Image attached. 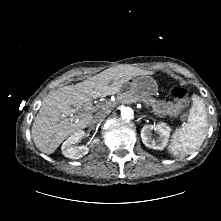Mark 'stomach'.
I'll use <instances>...</instances> for the list:
<instances>
[{
    "label": "stomach",
    "mask_w": 221,
    "mask_h": 221,
    "mask_svg": "<svg viewBox=\"0 0 221 221\" xmlns=\"http://www.w3.org/2000/svg\"><path fill=\"white\" fill-rule=\"evenodd\" d=\"M153 80L146 76H141L137 78H133L124 83V89L127 92H131L135 95L139 96H147L154 92V88L152 87Z\"/></svg>",
    "instance_id": "1"
}]
</instances>
